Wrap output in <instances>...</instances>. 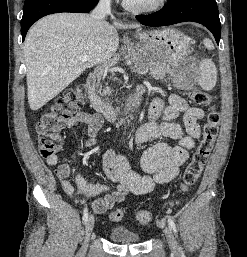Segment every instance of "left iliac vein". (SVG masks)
Segmentation results:
<instances>
[{
    "label": "left iliac vein",
    "instance_id": "4c4485c4",
    "mask_svg": "<svg viewBox=\"0 0 247 257\" xmlns=\"http://www.w3.org/2000/svg\"><path fill=\"white\" fill-rule=\"evenodd\" d=\"M164 233H165V236L167 238V242H168V245H169V248H170L171 252L174 255H178L179 254V249H178L177 242L175 240V237H174L170 227L166 226L164 228Z\"/></svg>",
    "mask_w": 247,
    "mask_h": 257
}]
</instances>
